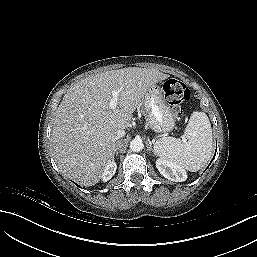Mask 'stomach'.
<instances>
[{"mask_svg": "<svg viewBox=\"0 0 257 257\" xmlns=\"http://www.w3.org/2000/svg\"><path fill=\"white\" fill-rule=\"evenodd\" d=\"M142 104L151 130L164 134L173 130L175 116L159 86L153 85L146 91Z\"/></svg>", "mask_w": 257, "mask_h": 257, "instance_id": "obj_1", "label": "stomach"}]
</instances>
